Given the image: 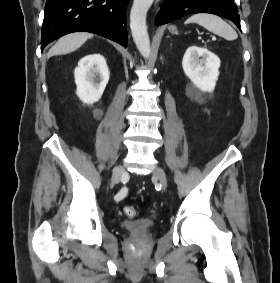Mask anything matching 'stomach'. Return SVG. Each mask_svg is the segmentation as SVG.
<instances>
[{
	"label": "stomach",
	"mask_w": 280,
	"mask_h": 283,
	"mask_svg": "<svg viewBox=\"0 0 280 283\" xmlns=\"http://www.w3.org/2000/svg\"><path fill=\"white\" fill-rule=\"evenodd\" d=\"M168 29H169V31H170L171 33H176V32H177V29H176L175 26H170Z\"/></svg>",
	"instance_id": "stomach-1"
}]
</instances>
